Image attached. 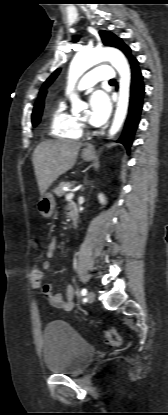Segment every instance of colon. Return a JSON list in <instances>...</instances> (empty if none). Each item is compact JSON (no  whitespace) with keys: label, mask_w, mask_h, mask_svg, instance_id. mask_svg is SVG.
<instances>
[{"label":"colon","mask_w":168,"mask_h":415,"mask_svg":"<svg viewBox=\"0 0 168 415\" xmlns=\"http://www.w3.org/2000/svg\"><path fill=\"white\" fill-rule=\"evenodd\" d=\"M44 262L45 257L38 255L32 267V274L29 276V283L32 291H40L42 289L44 280ZM104 337L113 346H118L121 343V338L115 329H106Z\"/></svg>","instance_id":"1"}]
</instances>
